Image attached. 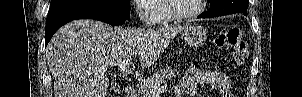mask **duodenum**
Instances as JSON below:
<instances>
[{"label":"duodenum","mask_w":302,"mask_h":97,"mask_svg":"<svg viewBox=\"0 0 302 97\" xmlns=\"http://www.w3.org/2000/svg\"><path fill=\"white\" fill-rule=\"evenodd\" d=\"M136 89L133 86H127L124 91V97H135Z\"/></svg>","instance_id":"410a0bca"}]
</instances>
